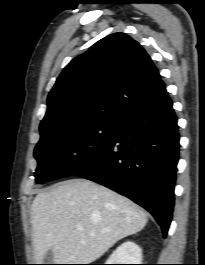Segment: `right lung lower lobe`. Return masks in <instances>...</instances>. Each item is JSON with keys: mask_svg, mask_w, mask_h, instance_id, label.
<instances>
[{"mask_svg": "<svg viewBox=\"0 0 205 265\" xmlns=\"http://www.w3.org/2000/svg\"><path fill=\"white\" fill-rule=\"evenodd\" d=\"M179 133L165 91L118 123L111 142L76 175L106 186L148 210L167 235L174 206Z\"/></svg>", "mask_w": 205, "mask_h": 265, "instance_id": "right-lung-lower-lobe-1", "label": "right lung lower lobe"}]
</instances>
